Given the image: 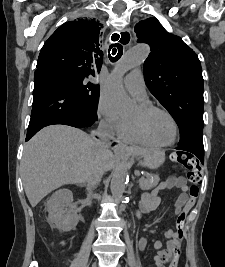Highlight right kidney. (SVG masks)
I'll return each mask as SVG.
<instances>
[{
  "label": "right kidney",
  "mask_w": 225,
  "mask_h": 267,
  "mask_svg": "<svg viewBox=\"0 0 225 267\" xmlns=\"http://www.w3.org/2000/svg\"><path fill=\"white\" fill-rule=\"evenodd\" d=\"M73 194L70 190L60 189L47 201L49 220L58 230L68 232L78 224V215L73 210Z\"/></svg>",
  "instance_id": "right-kidney-1"
}]
</instances>
